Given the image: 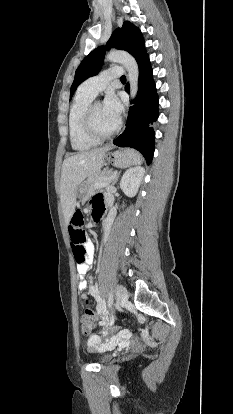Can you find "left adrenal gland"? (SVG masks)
Masks as SVG:
<instances>
[{
	"instance_id": "left-adrenal-gland-1",
	"label": "left adrenal gland",
	"mask_w": 233,
	"mask_h": 414,
	"mask_svg": "<svg viewBox=\"0 0 233 414\" xmlns=\"http://www.w3.org/2000/svg\"><path fill=\"white\" fill-rule=\"evenodd\" d=\"M120 173H121V171L116 174L115 179L113 181V185H115L117 183V181L119 179V176H120Z\"/></svg>"
}]
</instances>
